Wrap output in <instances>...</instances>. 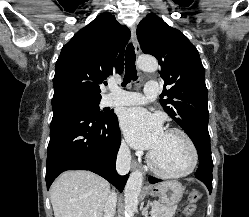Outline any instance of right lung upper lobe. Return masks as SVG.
<instances>
[{"mask_svg": "<svg viewBox=\"0 0 249 217\" xmlns=\"http://www.w3.org/2000/svg\"><path fill=\"white\" fill-rule=\"evenodd\" d=\"M130 30L112 14H100L63 46L53 78L54 95L75 91L101 97L100 84L124 70Z\"/></svg>", "mask_w": 249, "mask_h": 217, "instance_id": "right-lung-upper-lobe-1", "label": "right lung upper lobe"}]
</instances>
